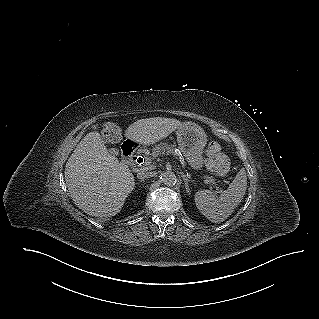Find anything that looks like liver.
<instances>
[{"label":"liver","mask_w":319,"mask_h":319,"mask_svg":"<svg viewBox=\"0 0 319 319\" xmlns=\"http://www.w3.org/2000/svg\"><path fill=\"white\" fill-rule=\"evenodd\" d=\"M183 125L170 118L140 119L124 135L136 143L150 145ZM65 181L77 207L94 217L119 213L135 185L128 166L109 153L97 131L88 133L74 149L65 166Z\"/></svg>","instance_id":"6515ba94"}]
</instances>
